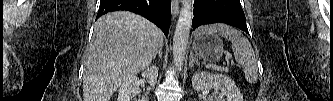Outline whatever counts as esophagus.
I'll return each instance as SVG.
<instances>
[{
	"mask_svg": "<svg viewBox=\"0 0 333 101\" xmlns=\"http://www.w3.org/2000/svg\"><path fill=\"white\" fill-rule=\"evenodd\" d=\"M179 0H172L171 3V12L173 17H176V15L178 14V10H179Z\"/></svg>",
	"mask_w": 333,
	"mask_h": 101,
	"instance_id": "obj_1",
	"label": "esophagus"
}]
</instances>
